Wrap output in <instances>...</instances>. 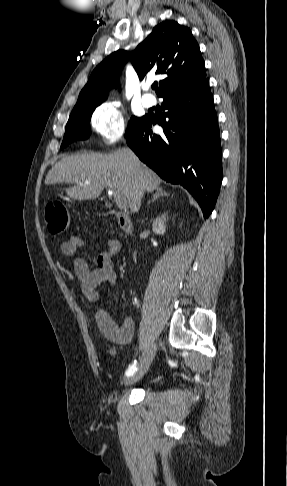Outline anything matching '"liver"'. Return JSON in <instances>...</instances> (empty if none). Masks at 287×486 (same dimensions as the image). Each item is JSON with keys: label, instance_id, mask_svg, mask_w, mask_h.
<instances>
[{"label": "liver", "instance_id": "obj_1", "mask_svg": "<svg viewBox=\"0 0 287 486\" xmlns=\"http://www.w3.org/2000/svg\"><path fill=\"white\" fill-rule=\"evenodd\" d=\"M67 183L74 186L66 194L74 200H91L104 188L118 191L129 203L131 212L141 206L144 192H153L161 179L130 151L111 154H79L63 157L48 172L45 184Z\"/></svg>", "mask_w": 287, "mask_h": 486}]
</instances>
